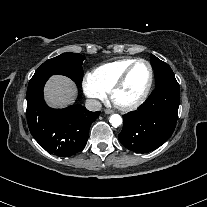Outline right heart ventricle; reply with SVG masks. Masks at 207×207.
I'll use <instances>...</instances> for the list:
<instances>
[{"label":"right heart ventricle","instance_id":"obj_1","mask_svg":"<svg viewBox=\"0 0 207 207\" xmlns=\"http://www.w3.org/2000/svg\"><path fill=\"white\" fill-rule=\"evenodd\" d=\"M134 60L132 58H125L105 63L95 68L91 77L100 88L105 92H109L116 80Z\"/></svg>","mask_w":207,"mask_h":207}]
</instances>
